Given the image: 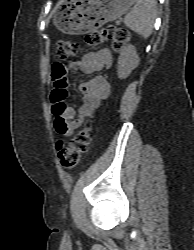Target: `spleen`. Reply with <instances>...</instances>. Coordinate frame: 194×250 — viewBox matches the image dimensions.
<instances>
[{
  "label": "spleen",
  "instance_id": "spleen-1",
  "mask_svg": "<svg viewBox=\"0 0 194 250\" xmlns=\"http://www.w3.org/2000/svg\"><path fill=\"white\" fill-rule=\"evenodd\" d=\"M133 9L124 18V23L134 32L147 38L153 31L156 17V0H135Z\"/></svg>",
  "mask_w": 194,
  "mask_h": 250
}]
</instances>
